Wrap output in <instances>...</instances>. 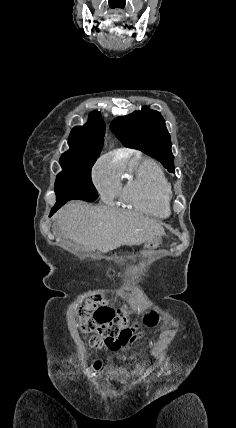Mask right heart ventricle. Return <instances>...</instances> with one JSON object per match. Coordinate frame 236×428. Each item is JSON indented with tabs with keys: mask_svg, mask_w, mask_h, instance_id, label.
Wrapping results in <instances>:
<instances>
[{
	"mask_svg": "<svg viewBox=\"0 0 236 428\" xmlns=\"http://www.w3.org/2000/svg\"><path fill=\"white\" fill-rule=\"evenodd\" d=\"M127 172L122 199L133 208L149 215L164 217L170 212L173 186L165 172L151 159L137 156L132 162L117 164Z\"/></svg>",
	"mask_w": 236,
	"mask_h": 428,
	"instance_id": "1",
	"label": "right heart ventricle"
}]
</instances>
